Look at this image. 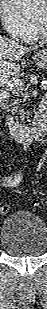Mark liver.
I'll return each instance as SVG.
<instances>
[{"mask_svg":"<svg viewBox=\"0 0 47 309\" xmlns=\"http://www.w3.org/2000/svg\"><path fill=\"white\" fill-rule=\"evenodd\" d=\"M32 49L31 47H25L14 40L1 36L0 76L17 75L21 69L18 61Z\"/></svg>","mask_w":47,"mask_h":309,"instance_id":"1","label":"liver"}]
</instances>
